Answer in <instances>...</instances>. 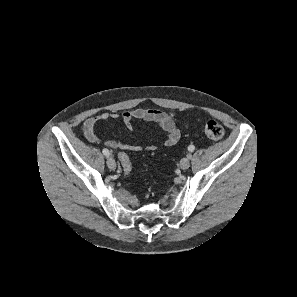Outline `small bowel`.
Segmentation results:
<instances>
[{
	"label": "small bowel",
	"mask_w": 297,
	"mask_h": 297,
	"mask_svg": "<svg viewBox=\"0 0 297 297\" xmlns=\"http://www.w3.org/2000/svg\"><path fill=\"white\" fill-rule=\"evenodd\" d=\"M119 115L114 112H101L95 115L90 116L84 123L83 131L87 140L91 143H100L101 139L97 137L94 132V126L99 121H105L110 119H117ZM121 119L127 129H133V122L135 120H144L147 122L156 123L165 133V145L173 146L175 145L180 138V129L176 126L174 122V115L165 111L149 108H136L133 110L125 111L121 115ZM104 145L110 149H120L122 152L132 151L138 152L143 149L146 151L156 150L155 145H147L143 147L138 144H127L118 142L116 140L107 139L103 141ZM121 153V152H120Z\"/></svg>",
	"instance_id": "obj_1"
}]
</instances>
